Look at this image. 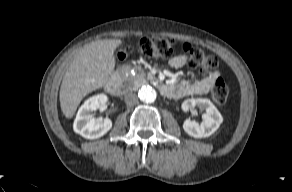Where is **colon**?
Listing matches in <instances>:
<instances>
[{
    "instance_id": "obj_1",
    "label": "colon",
    "mask_w": 292,
    "mask_h": 192,
    "mask_svg": "<svg viewBox=\"0 0 292 192\" xmlns=\"http://www.w3.org/2000/svg\"><path fill=\"white\" fill-rule=\"evenodd\" d=\"M183 51L188 58L189 65L193 68H199L203 73L209 72L218 65V61L214 56L191 44H184ZM138 52L154 59H167L174 53V42L169 38H143L138 45ZM228 95L229 89L225 80L222 77H218L211 89L212 99L218 104H224Z\"/></svg>"
}]
</instances>
